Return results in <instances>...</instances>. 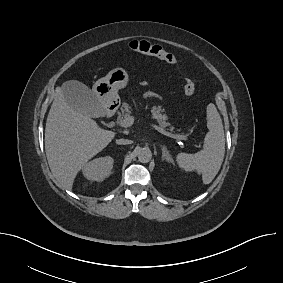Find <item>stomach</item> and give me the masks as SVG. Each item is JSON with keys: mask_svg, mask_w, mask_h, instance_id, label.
Masks as SVG:
<instances>
[{"mask_svg": "<svg viewBox=\"0 0 283 283\" xmlns=\"http://www.w3.org/2000/svg\"><path fill=\"white\" fill-rule=\"evenodd\" d=\"M129 80L127 71L122 67L111 70L93 85V93L102 107L117 103L118 90L126 87Z\"/></svg>", "mask_w": 283, "mask_h": 283, "instance_id": "1", "label": "stomach"}]
</instances>
